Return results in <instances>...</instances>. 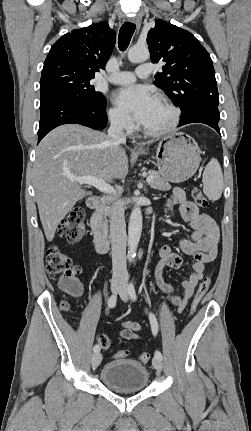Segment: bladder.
<instances>
[{
	"instance_id": "obj_1",
	"label": "bladder",
	"mask_w": 251,
	"mask_h": 431,
	"mask_svg": "<svg viewBox=\"0 0 251 431\" xmlns=\"http://www.w3.org/2000/svg\"><path fill=\"white\" fill-rule=\"evenodd\" d=\"M100 379L115 392L134 393L146 388L149 372L146 366L136 360L117 359L103 366Z\"/></svg>"
}]
</instances>
